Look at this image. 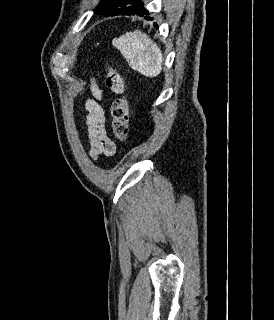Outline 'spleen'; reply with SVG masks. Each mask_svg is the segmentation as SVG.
I'll list each match as a JSON object with an SVG mask.
<instances>
[{
  "mask_svg": "<svg viewBox=\"0 0 274 320\" xmlns=\"http://www.w3.org/2000/svg\"><path fill=\"white\" fill-rule=\"evenodd\" d=\"M113 46L120 50V54L132 70L140 72L146 78H155V76L161 74L162 52L157 44H154L151 38L142 34L140 30L127 32L124 36H120L118 40H113Z\"/></svg>",
  "mask_w": 274,
  "mask_h": 320,
  "instance_id": "spleen-1",
  "label": "spleen"
}]
</instances>
